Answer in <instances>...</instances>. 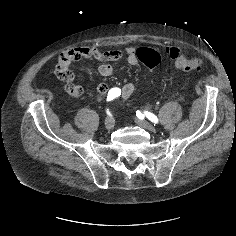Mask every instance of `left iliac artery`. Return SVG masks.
<instances>
[{
	"mask_svg": "<svg viewBox=\"0 0 236 236\" xmlns=\"http://www.w3.org/2000/svg\"><path fill=\"white\" fill-rule=\"evenodd\" d=\"M136 116L140 119L144 118V116H146L151 122H153L154 124L158 123V118L153 114L150 113L148 111H145L144 113H141L139 110L136 111Z\"/></svg>",
	"mask_w": 236,
	"mask_h": 236,
	"instance_id": "obj_1",
	"label": "left iliac artery"
}]
</instances>
